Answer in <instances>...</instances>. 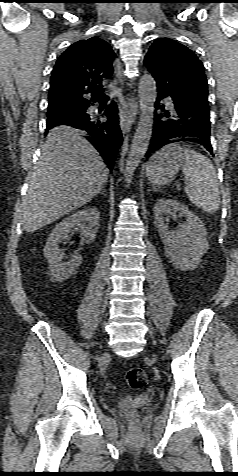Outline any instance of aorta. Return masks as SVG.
I'll return each instance as SVG.
<instances>
[{"instance_id":"obj_1","label":"aorta","mask_w":238,"mask_h":476,"mask_svg":"<svg viewBox=\"0 0 238 476\" xmlns=\"http://www.w3.org/2000/svg\"><path fill=\"white\" fill-rule=\"evenodd\" d=\"M156 82L154 78L145 74L139 81V103H140V119L136 129V133L132 140V145L125 167V180L131 182L133 174L148 150L150 139L153 131V114L156 100Z\"/></svg>"}]
</instances>
